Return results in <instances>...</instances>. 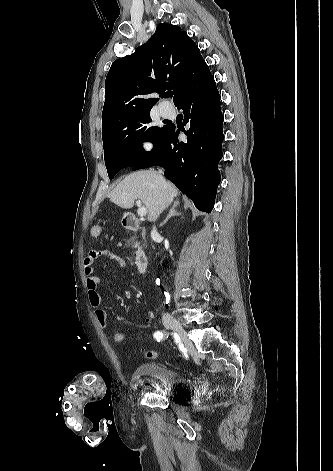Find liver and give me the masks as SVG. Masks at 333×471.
I'll return each instance as SVG.
<instances>
[{
  "instance_id": "liver-1",
  "label": "liver",
  "mask_w": 333,
  "mask_h": 471,
  "mask_svg": "<svg viewBox=\"0 0 333 471\" xmlns=\"http://www.w3.org/2000/svg\"><path fill=\"white\" fill-rule=\"evenodd\" d=\"M165 193L167 197L162 208ZM177 195L178 189L166 181L164 186L157 171L141 170L126 176L108 197L111 202L124 209L132 208L135 200H142L148 212V221L153 222Z\"/></svg>"
}]
</instances>
